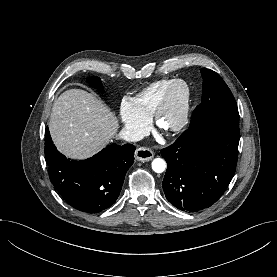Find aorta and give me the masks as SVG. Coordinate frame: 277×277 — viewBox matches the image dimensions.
<instances>
[{"mask_svg":"<svg viewBox=\"0 0 277 277\" xmlns=\"http://www.w3.org/2000/svg\"><path fill=\"white\" fill-rule=\"evenodd\" d=\"M152 169L156 173H162L166 169V162L161 158H156L152 161Z\"/></svg>","mask_w":277,"mask_h":277,"instance_id":"762f6f07","label":"aorta"}]
</instances>
